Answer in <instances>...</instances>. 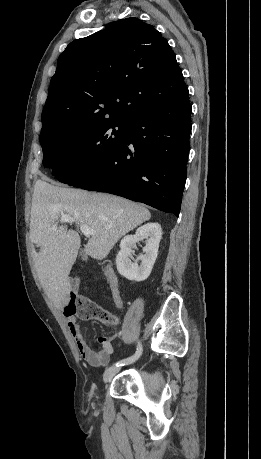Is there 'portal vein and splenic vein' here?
<instances>
[{
    "label": "portal vein and splenic vein",
    "mask_w": 261,
    "mask_h": 459,
    "mask_svg": "<svg viewBox=\"0 0 261 459\" xmlns=\"http://www.w3.org/2000/svg\"><path fill=\"white\" fill-rule=\"evenodd\" d=\"M60 222L61 223H66V222L74 223L75 219L70 215L63 214L60 218ZM53 228H57V225H54ZM80 230L87 238H89L91 235L95 233L94 230H92L89 226L85 224L80 225Z\"/></svg>",
    "instance_id": "1"
}]
</instances>
